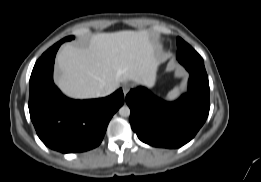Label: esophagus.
Segmentation results:
<instances>
[{"label": "esophagus", "instance_id": "obj_1", "mask_svg": "<svg viewBox=\"0 0 261 182\" xmlns=\"http://www.w3.org/2000/svg\"><path fill=\"white\" fill-rule=\"evenodd\" d=\"M131 88L132 86L130 84H124L122 87L124 95H126L131 90Z\"/></svg>", "mask_w": 261, "mask_h": 182}]
</instances>
